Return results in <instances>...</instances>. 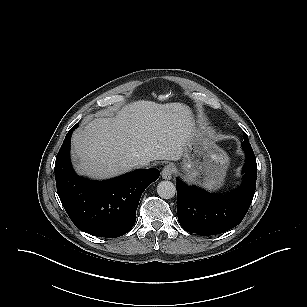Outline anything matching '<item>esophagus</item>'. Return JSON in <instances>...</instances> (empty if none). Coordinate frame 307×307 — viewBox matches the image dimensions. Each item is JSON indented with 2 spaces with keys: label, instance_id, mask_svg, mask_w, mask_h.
<instances>
[{
  "label": "esophagus",
  "instance_id": "obj_1",
  "mask_svg": "<svg viewBox=\"0 0 307 307\" xmlns=\"http://www.w3.org/2000/svg\"><path fill=\"white\" fill-rule=\"evenodd\" d=\"M173 173H174V168L172 165L169 164L163 168L161 175L163 179L170 180L172 178Z\"/></svg>",
  "mask_w": 307,
  "mask_h": 307
}]
</instances>
